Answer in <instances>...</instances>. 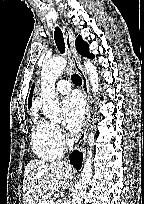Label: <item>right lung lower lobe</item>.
Returning <instances> with one entry per match:
<instances>
[{"mask_svg":"<svg viewBox=\"0 0 144 204\" xmlns=\"http://www.w3.org/2000/svg\"><path fill=\"white\" fill-rule=\"evenodd\" d=\"M70 160H71L72 164L74 165V167H76L77 169H80L82 166L83 154L81 152L75 150L71 154Z\"/></svg>","mask_w":144,"mask_h":204,"instance_id":"right-lung-lower-lobe-1","label":"right lung lower lobe"}]
</instances>
